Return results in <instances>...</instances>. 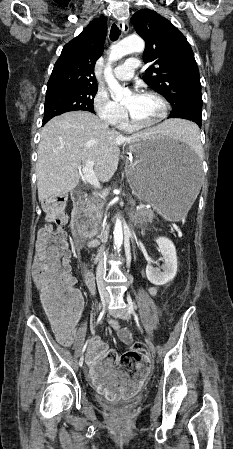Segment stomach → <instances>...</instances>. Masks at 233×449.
Returning <instances> with one entry per match:
<instances>
[{
  "label": "stomach",
  "mask_w": 233,
  "mask_h": 449,
  "mask_svg": "<svg viewBox=\"0 0 233 449\" xmlns=\"http://www.w3.org/2000/svg\"><path fill=\"white\" fill-rule=\"evenodd\" d=\"M126 177L134 195L168 221L185 217L200 191V162L187 146L150 137L130 146Z\"/></svg>",
  "instance_id": "obj_1"
}]
</instances>
